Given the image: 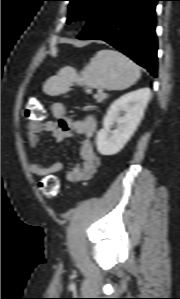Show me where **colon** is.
<instances>
[{
    "mask_svg": "<svg viewBox=\"0 0 180 299\" xmlns=\"http://www.w3.org/2000/svg\"><path fill=\"white\" fill-rule=\"evenodd\" d=\"M27 116L33 120H43L46 110L38 100H31L27 105ZM39 187L47 198H55L60 192V181L56 176H47L40 181Z\"/></svg>",
    "mask_w": 180,
    "mask_h": 299,
    "instance_id": "5ec220e1",
    "label": "colon"
}]
</instances>
